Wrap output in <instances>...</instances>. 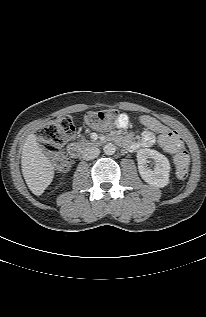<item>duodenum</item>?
Here are the masks:
<instances>
[{
  "label": "duodenum",
  "mask_w": 206,
  "mask_h": 317,
  "mask_svg": "<svg viewBox=\"0 0 206 317\" xmlns=\"http://www.w3.org/2000/svg\"><path fill=\"white\" fill-rule=\"evenodd\" d=\"M118 139V137H115ZM83 151V146L78 145V144H71L68 148L69 154L74 157V158H79L82 154Z\"/></svg>",
  "instance_id": "obj_1"
}]
</instances>
